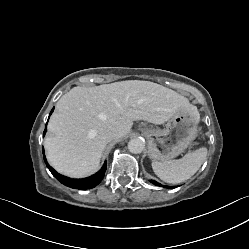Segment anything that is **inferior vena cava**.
I'll return each mask as SVG.
<instances>
[{
    "instance_id": "obj_1",
    "label": "inferior vena cava",
    "mask_w": 249,
    "mask_h": 249,
    "mask_svg": "<svg viewBox=\"0 0 249 249\" xmlns=\"http://www.w3.org/2000/svg\"><path fill=\"white\" fill-rule=\"evenodd\" d=\"M103 136L110 141L116 139L119 134L114 129H107L106 131H104Z\"/></svg>"
}]
</instances>
